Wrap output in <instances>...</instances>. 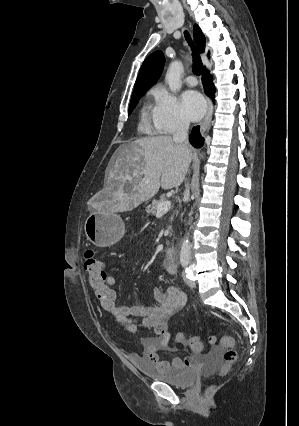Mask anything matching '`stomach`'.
Listing matches in <instances>:
<instances>
[{"instance_id":"stomach-1","label":"stomach","mask_w":299,"mask_h":426,"mask_svg":"<svg viewBox=\"0 0 299 426\" xmlns=\"http://www.w3.org/2000/svg\"><path fill=\"white\" fill-rule=\"evenodd\" d=\"M87 239L98 247H111L120 241L125 233L122 218L109 208L93 211L84 225Z\"/></svg>"}]
</instances>
